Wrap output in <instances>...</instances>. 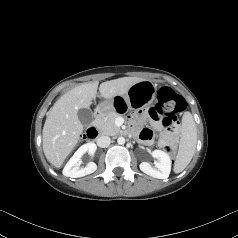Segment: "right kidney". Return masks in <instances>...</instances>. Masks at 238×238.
<instances>
[{
  "label": "right kidney",
  "mask_w": 238,
  "mask_h": 238,
  "mask_svg": "<svg viewBox=\"0 0 238 238\" xmlns=\"http://www.w3.org/2000/svg\"><path fill=\"white\" fill-rule=\"evenodd\" d=\"M97 147L94 143H86L82 145L70 158L66 166L63 169V175L67 177L77 178L91 174L97 169V165L94 162L87 164L85 168H80L81 157L88 152L91 156L94 155Z\"/></svg>",
  "instance_id": "right-kidney-1"
}]
</instances>
